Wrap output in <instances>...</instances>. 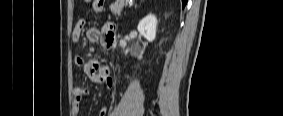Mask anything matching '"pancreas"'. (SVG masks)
Listing matches in <instances>:
<instances>
[{
  "label": "pancreas",
  "mask_w": 283,
  "mask_h": 116,
  "mask_svg": "<svg viewBox=\"0 0 283 116\" xmlns=\"http://www.w3.org/2000/svg\"><path fill=\"white\" fill-rule=\"evenodd\" d=\"M123 8V1L118 0L110 6L111 12L115 15H120Z\"/></svg>",
  "instance_id": "cf45deb5"
}]
</instances>
